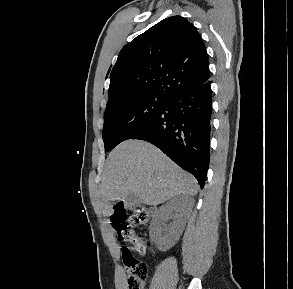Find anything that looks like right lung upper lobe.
Here are the masks:
<instances>
[{"mask_svg": "<svg viewBox=\"0 0 293 289\" xmlns=\"http://www.w3.org/2000/svg\"><path fill=\"white\" fill-rule=\"evenodd\" d=\"M209 78L206 48L196 27L172 16L122 48L111 71L107 105L147 93L170 99Z\"/></svg>", "mask_w": 293, "mask_h": 289, "instance_id": "obj_1", "label": "right lung upper lobe"}]
</instances>
